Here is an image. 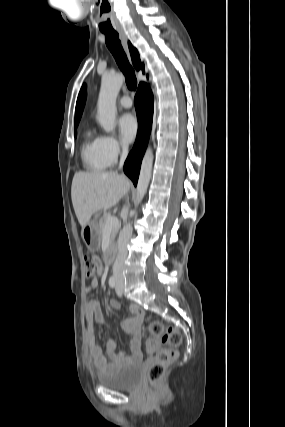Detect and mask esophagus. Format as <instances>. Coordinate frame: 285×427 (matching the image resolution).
<instances>
[{
    "instance_id": "1",
    "label": "esophagus",
    "mask_w": 285,
    "mask_h": 427,
    "mask_svg": "<svg viewBox=\"0 0 285 427\" xmlns=\"http://www.w3.org/2000/svg\"><path fill=\"white\" fill-rule=\"evenodd\" d=\"M117 31L119 33L120 40L122 42L123 48H124V50H125L128 58L130 60V56H129V52H128V47H127V37H126V34H125L123 28H118Z\"/></svg>"
}]
</instances>
